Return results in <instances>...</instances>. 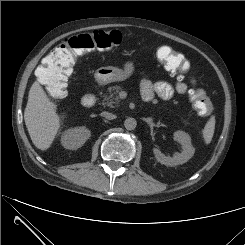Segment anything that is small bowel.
Here are the masks:
<instances>
[{
  "label": "small bowel",
  "mask_w": 245,
  "mask_h": 245,
  "mask_svg": "<svg viewBox=\"0 0 245 245\" xmlns=\"http://www.w3.org/2000/svg\"><path fill=\"white\" fill-rule=\"evenodd\" d=\"M163 48L165 47H161L159 51ZM190 83L192 85H195L196 80L194 78H191ZM140 86L142 97L147 102L152 101L155 95H158L164 100H170L176 94L185 95L190 91L189 85L180 79H178L174 85H171L166 82L152 83L149 79L142 78Z\"/></svg>",
  "instance_id": "1"
}]
</instances>
